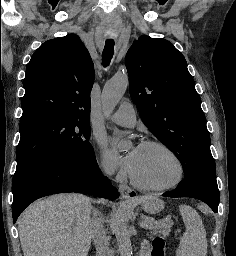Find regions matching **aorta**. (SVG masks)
<instances>
[{"label":"aorta","mask_w":236,"mask_h":256,"mask_svg":"<svg viewBox=\"0 0 236 256\" xmlns=\"http://www.w3.org/2000/svg\"><path fill=\"white\" fill-rule=\"evenodd\" d=\"M129 84L128 75L117 74L109 80L102 91V104L105 114H109L124 95ZM112 229L115 233L121 256H132L130 233L125 223L122 210H118L112 220Z\"/></svg>","instance_id":"obj_1"}]
</instances>
